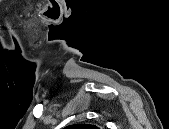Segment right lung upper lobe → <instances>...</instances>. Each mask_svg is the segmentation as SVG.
Returning <instances> with one entry per match:
<instances>
[{
    "instance_id": "1",
    "label": "right lung upper lobe",
    "mask_w": 169,
    "mask_h": 129,
    "mask_svg": "<svg viewBox=\"0 0 169 129\" xmlns=\"http://www.w3.org/2000/svg\"><path fill=\"white\" fill-rule=\"evenodd\" d=\"M87 127H93V126L84 125V124H75V125L68 126L67 128H70V129H82V128H87Z\"/></svg>"
}]
</instances>
